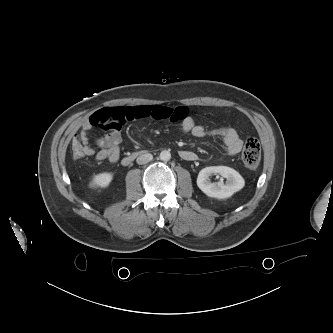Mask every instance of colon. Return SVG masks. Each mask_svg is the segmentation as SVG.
I'll use <instances>...</instances> for the list:
<instances>
[{
  "instance_id": "colon-1",
  "label": "colon",
  "mask_w": 333,
  "mask_h": 333,
  "mask_svg": "<svg viewBox=\"0 0 333 333\" xmlns=\"http://www.w3.org/2000/svg\"><path fill=\"white\" fill-rule=\"evenodd\" d=\"M226 130L224 128L214 129L207 132L210 136H221ZM72 156L74 159H81L85 156L82 143L74 138L71 143ZM261 158V146L259 141L255 137H248L245 140L242 150V160L244 164L249 168H256Z\"/></svg>"
}]
</instances>
